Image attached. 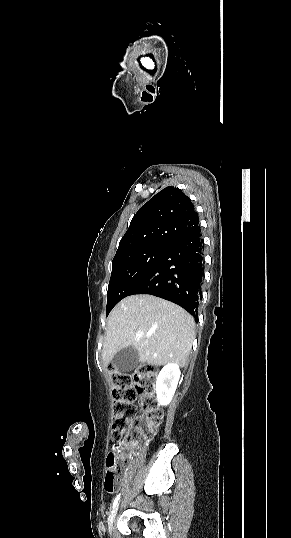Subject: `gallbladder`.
Listing matches in <instances>:
<instances>
[{
  "label": "gallbladder",
  "mask_w": 291,
  "mask_h": 538,
  "mask_svg": "<svg viewBox=\"0 0 291 538\" xmlns=\"http://www.w3.org/2000/svg\"><path fill=\"white\" fill-rule=\"evenodd\" d=\"M139 362L138 351L133 347H126L116 353L112 359V365L115 369L122 372L133 370Z\"/></svg>",
  "instance_id": "1"
}]
</instances>
